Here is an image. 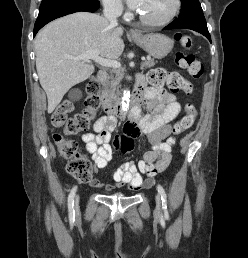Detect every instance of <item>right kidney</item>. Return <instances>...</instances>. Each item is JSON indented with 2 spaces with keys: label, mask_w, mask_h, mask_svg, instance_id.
I'll list each match as a JSON object with an SVG mask.
<instances>
[{
  "label": "right kidney",
  "mask_w": 248,
  "mask_h": 258,
  "mask_svg": "<svg viewBox=\"0 0 248 258\" xmlns=\"http://www.w3.org/2000/svg\"><path fill=\"white\" fill-rule=\"evenodd\" d=\"M81 96V92L78 90H74L70 93L71 99H78Z\"/></svg>",
  "instance_id": "obj_1"
}]
</instances>
